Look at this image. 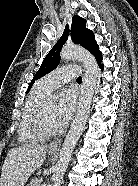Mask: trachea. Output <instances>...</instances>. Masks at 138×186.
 I'll return each instance as SVG.
<instances>
[{
  "instance_id": "3493384b",
  "label": "trachea",
  "mask_w": 138,
  "mask_h": 186,
  "mask_svg": "<svg viewBox=\"0 0 138 186\" xmlns=\"http://www.w3.org/2000/svg\"><path fill=\"white\" fill-rule=\"evenodd\" d=\"M77 81H78V82H81V81H82V77L79 76V77L77 78Z\"/></svg>"
}]
</instances>
